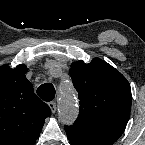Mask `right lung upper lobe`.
<instances>
[{
	"label": "right lung upper lobe",
	"mask_w": 145,
	"mask_h": 145,
	"mask_svg": "<svg viewBox=\"0 0 145 145\" xmlns=\"http://www.w3.org/2000/svg\"><path fill=\"white\" fill-rule=\"evenodd\" d=\"M25 65L0 67V145H34L49 106L34 93Z\"/></svg>",
	"instance_id": "obj_1"
}]
</instances>
